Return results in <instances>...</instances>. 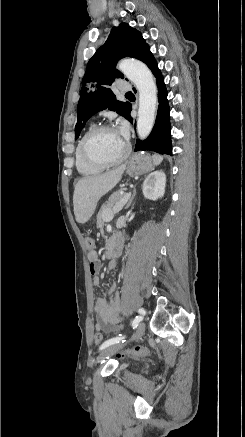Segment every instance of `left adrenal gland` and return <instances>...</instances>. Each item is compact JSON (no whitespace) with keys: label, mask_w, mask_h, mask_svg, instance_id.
I'll return each mask as SVG.
<instances>
[{"label":"left adrenal gland","mask_w":245,"mask_h":437,"mask_svg":"<svg viewBox=\"0 0 245 437\" xmlns=\"http://www.w3.org/2000/svg\"><path fill=\"white\" fill-rule=\"evenodd\" d=\"M135 195H136V191L134 190V191H133V194H132V196H131V198H130V200H129V202L127 203V205H126V207H125V209H128V208L131 206V204H132V202H133V200H134V198H135Z\"/></svg>","instance_id":"obj_1"}]
</instances>
